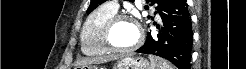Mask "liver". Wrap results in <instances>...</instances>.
<instances>
[{"label":"liver","instance_id":"1","mask_svg":"<svg viewBox=\"0 0 246 69\" xmlns=\"http://www.w3.org/2000/svg\"><path fill=\"white\" fill-rule=\"evenodd\" d=\"M117 57H98V58H94V59H85L83 61H81L78 65H88V64H93V63H101V62H106L108 60H112V59H116Z\"/></svg>","mask_w":246,"mask_h":69}]
</instances>
